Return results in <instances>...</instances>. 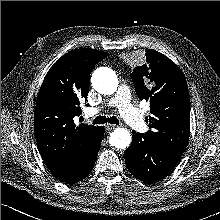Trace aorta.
<instances>
[{"instance_id": "obj_1", "label": "aorta", "mask_w": 220, "mask_h": 220, "mask_svg": "<svg viewBox=\"0 0 220 220\" xmlns=\"http://www.w3.org/2000/svg\"><path fill=\"white\" fill-rule=\"evenodd\" d=\"M92 85L97 92L111 95L117 90L118 78L110 68L101 67L94 71ZM109 142L118 149H125L131 143V133L125 128H117L110 134Z\"/></svg>"}]
</instances>
